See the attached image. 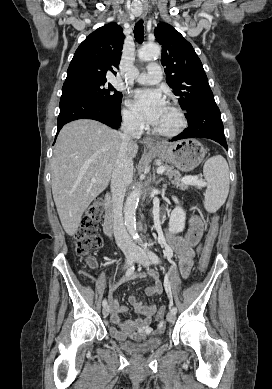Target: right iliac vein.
Here are the masks:
<instances>
[{
	"mask_svg": "<svg viewBox=\"0 0 272 389\" xmlns=\"http://www.w3.org/2000/svg\"><path fill=\"white\" fill-rule=\"evenodd\" d=\"M134 258H135V254L132 253V252L126 253V254H125V263H126V267H129V266L132 264V262L134 261ZM109 312H110L109 306H107V305L104 306V308H103V310H102L103 315H104L105 317H107L108 314H109Z\"/></svg>",
	"mask_w": 272,
	"mask_h": 389,
	"instance_id": "1",
	"label": "right iliac vein"
}]
</instances>
